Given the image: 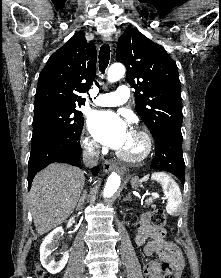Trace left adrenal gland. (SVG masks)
Instances as JSON below:
<instances>
[{
  "label": "left adrenal gland",
  "mask_w": 221,
  "mask_h": 278,
  "mask_svg": "<svg viewBox=\"0 0 221 278\" xmlns=\"http://www.w3.org/2000/svg\"><path fill=\"white\" fill-rule=\"evenodd\" d=\"M123 201H131V193H128L127 197Z\"/></svg>",
  "instance_id": "1"
}]
</instances>
